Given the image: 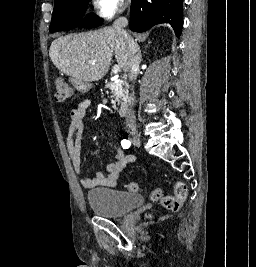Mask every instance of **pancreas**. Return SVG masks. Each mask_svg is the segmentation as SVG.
<instances>
[{
    "label": "pancreas",
    "mask_w": 256,
    "mask_h": 267,
    "mask_svg": "<svg viewBox=\"0 0 256 267\" xmlns=\"http://www.w3.org/2000/svg\"><path fill=\"white\" fill-rule=\"evenodd\" d=\"M106 88H110L111 94H113L114 100H112V104H122V106H125L124 98H127V94H125L126 90H128V84L124 78V80H119L117 84H113V82H110V84H107Z\"/></svg>",
    "instance_id": "obj_1"
}]
</instances>
